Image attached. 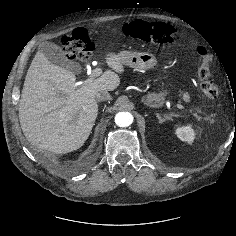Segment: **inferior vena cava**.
<instances>
[{"label":"inferior vena cava","mask_w":236,"mask_h":236,"mask_svg":"<svg viewBox=\"0 0 236 236\" xmlns=\"http://www.w3.org/2000/svg\"><path fill=\"white\" fill-rule=\"evenodd\" d=\"M110 99H111V95L107 91H100L96 94V100L98 102L110 100Z\"/></svg>","instance_id":"obj_1"}]
</instances>
